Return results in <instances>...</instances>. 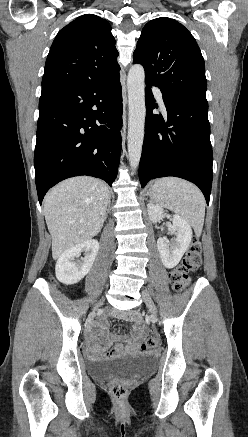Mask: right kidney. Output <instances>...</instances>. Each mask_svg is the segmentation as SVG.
<instances>
[{"label":"right kidney","instance_id":"right-kidney-1","mask_svg":"<svg viewBox=\"0 0 248 437\" xmlns=\"http://www.w3.org/2000/svg\"><path fill=\"white\" fill-rule=\"evenodd\" d=\"M99 250L97 240L90 239L66 250L57 260L56 278L63 284L73 285L81 281L90 271ZM81 252L85 253L79 263L73 261Z\"/></svg>","mask_w":248,"mask_h":437}]
</instances>
